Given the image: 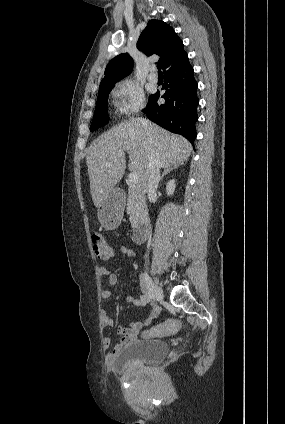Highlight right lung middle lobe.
<instances>
[{"mask_svg": "<svg viewBox=\"0 0 285 424\" xmlns=\"http://www.w3.org/2000/svg\"><path fill=\"white\" fill-rule=\"evenodd\" d=\"M114 85H109L106 87L99 88V95L96 102L95 113L93 120L90 126V131H94L109 122V117L107 115V102L108 95Z\"/></svg>", "mask_w": 285, "mask_h": 424, "instance_id": "1", "label": "right lung middle lobe"}]
</instances>
